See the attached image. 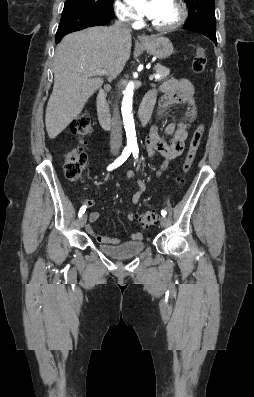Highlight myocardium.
Here are the masks:
<instances>
[{
    "label": "myocardium",
    "instance_id": "myocardium-1",
    "mask_svg": "<svg viewBox=\"0 0 254 397\" xmlns=\"http://www.w3.org/2000/svg\"><path fill=\"white\" fill-rule=\"evenodd\" d=\"M173 2L176 4V6L179 9V16H178L177 20L169 25H157L153 21H150V25L154 29H156L158 31H162V32H169V31L176 30L177 28L181 27L184 24V22L187 18L186 5L182 2V0H173Z\"/></svg>",
    "mask_w": 254,
    "mask_h": 397
}]
</instances>
